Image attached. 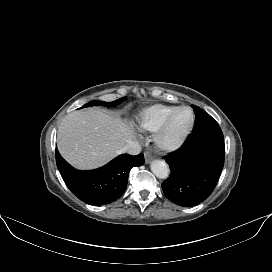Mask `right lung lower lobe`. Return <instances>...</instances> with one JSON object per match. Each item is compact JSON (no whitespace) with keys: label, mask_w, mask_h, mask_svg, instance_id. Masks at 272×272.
<instances>
[{"label":"right lung lower lobe","mask_w":272,"mask_h":272,"mask_svg":"<svg viewBox=\"0 0 272 272\" xmlns=\"http://www.w3.org/2000/svg\"><path fill=\"white\" fill-rule=\"evenodd\" d=\"M56 163L69 190L90 205L109 204L126 190L129 171L144 164V155L122 154L92 171L75 170L56 150Z\"/></svg>","instance_id":"1"}]
</instances>
